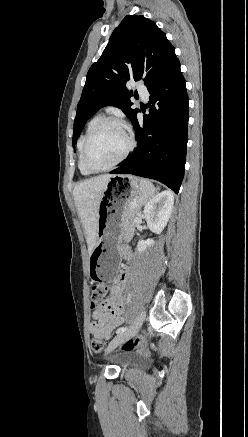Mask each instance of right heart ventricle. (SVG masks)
Listing matches in <instances>:
<instances>
[{
    "label": "right heart ventricle",
    "mask_w": 248,
    "mask_h": 437,
    "mask_svg": "<svg viewBox=\"0 0 248 437\" xmlns=\"http://www.w3.org/2000/svg\"><path fill=\"white\" fill-rule=\"evenodd\" d=\"M101 115L100 114H96L94 115L86 124L85 129L78 141V168L80 170V172L83 175H90L92 172H90L83 163V159H82V150H83V144L84 141L86 139V137L88 136L89 132L91 131V129L94 127V125L101 119Z\"/></svg>",
    "instance_id": "obj_1"
}]
</instances>
